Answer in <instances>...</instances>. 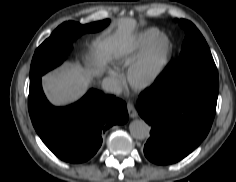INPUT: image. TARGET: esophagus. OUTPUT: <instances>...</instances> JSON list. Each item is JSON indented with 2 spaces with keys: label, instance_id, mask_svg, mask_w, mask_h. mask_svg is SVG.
<instances>
[{
  "label": "esophagus",
  "instance_id": "obj_1",
  "mask_svg": "<svg viewBox=\"0 0 236 182\" xmlns=\"http://www.w3.org/2000/svg\"><path fill=\"white\" fill-rule=\"evenodd\" d=\"M127 111L131 118H136L138 116L135 106L130 102L127 103Z\"/></svg>",
  "mask_w": 236,
  "mask_h": 182
}]
</instances>
